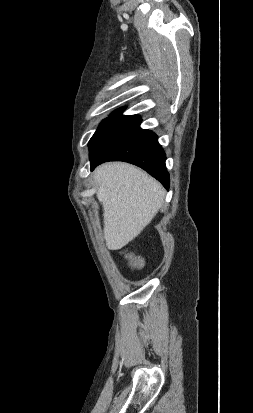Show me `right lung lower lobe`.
<instances>
[{"label": "right lung lower lobe", "instance_id": "right-lung-lower-lobe-1", "mask_svg": "<svg viewBox=\"0 0 253 413\" xmlns=\"http://www.w3.org/2000/svg\"><path fill=\"white\" fill-rule=\"evenodd\" d=\"M165 160L166 156L157 136L149 130L139 129L105 156L91 162V170L106 161H125L141 167L168 189L169 174Z\"/></svg>", "mask_w": 253, "mask_h": 413}]
</instances>
